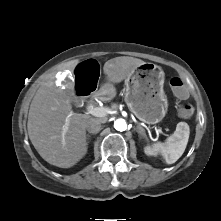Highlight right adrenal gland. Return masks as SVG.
Returning a JSON list of instances; mask_svg holds the SVG:
<instances>
[{
  "mask_svg": "<svg viewBox=\"0 0 221 221\" xmlns=\"http://www.w3.org/2000/svg\"><path fill=\"white\" fill-rule=\"evenodd\" d=\"M90 137H91L90 134H87V139H88V140L90 139Z\"/></svg>",
  "mask_w": 221,
  "mask_h": 221,
  "instance_id": "obj_1",
  "label": "right adrenal gland"
}]
</instances>
